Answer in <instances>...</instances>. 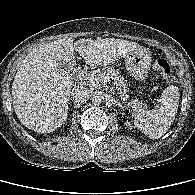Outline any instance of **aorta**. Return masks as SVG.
I'll return each instance as SVG.
<instances>
[{"mask_svg": "<svg viewBox=\"0 0 195 195\" xmlns=\"http://www.w3.org/2000/svg\"><path fill=\"white\" fill-rule=\"evenodd\" d=\"M93 103L95 104V105H99V104H101V101H102V97L100 96V95H95L94 97H93Z\"/></svg>", "mask_w": 195, "mask_h": 195, "instance_id": "1", "label": "aorta"}]
</instances>
